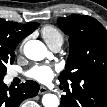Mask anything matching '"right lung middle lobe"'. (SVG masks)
Here are the masks:
<instances>
[{"mask_svg":"<svg viewBox=\"0 0 107 107\" xmlns=\"http://www.w3.org/2000/svg\"><path fill=\"white\" fill-rule=\"evenodd\" d=\"M6 63H3V64H0V81L3 80L5 74H6V66H5ZM12 64V63H10Z\"/></svg>","mask_w":107,"mask_h":107,"instance_id":"obj_1","label":"right lung middle lobe"}]
</instances>
